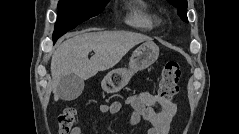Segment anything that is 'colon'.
<instances>
[{
    "mask_svg": "<svg viewBox=\"0 0 239 134\" xmlns=\"http://www.w3.org/2000/svg\"><path fill=\"white\" fill-rule=\"evenodd\" d=\"M181 69L178 63H167L160 76L158 94L161 98L169 100L178 92ZM76 118V109L68 106L63 109L58 117V129L60 134H69Z\"/></svg>",
    "mask_w": 239,
    "mask_h": 134,
    "instance_id": "5ec220e1",
    "label": "colon"
}]
</instances>
